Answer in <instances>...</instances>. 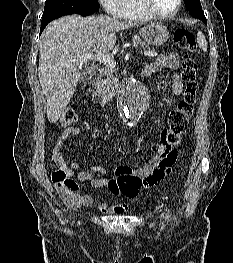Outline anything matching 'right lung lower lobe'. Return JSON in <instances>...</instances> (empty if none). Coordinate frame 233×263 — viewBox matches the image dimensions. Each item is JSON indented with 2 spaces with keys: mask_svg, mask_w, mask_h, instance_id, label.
<instances>
[{
  "mask_svg": "<svg viewBox=\"0 0 233 263\" xmlns=\"http://www.w3.org/2000/svg\"><path fill=\"white\" fill-rule=\"evenodd\" d=\"M80 14L83 15V16H87V15H91V14H93V13H91V12H86V11H81ZM48 23H49V22H41L40 33L44 30V28L46 27V25H47Z\"/></svg>",
  "mask_w": 233,
  "mask_h": 263,
  "instance_id": "1",
  "label": "right lung lower lobe"
}]
</instances>
